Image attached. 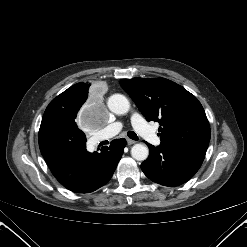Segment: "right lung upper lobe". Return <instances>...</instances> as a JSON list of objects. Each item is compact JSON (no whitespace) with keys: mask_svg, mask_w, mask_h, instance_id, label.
<instances>
[{"mask_svg":"<svg viewBox=\"0 0 247 247\" xmlns=\"http://www.w3.org/2000/svg\"><path fill=\"white\" fill-rule=\"evenodd\" d=\"M63 93H70L77 99L86 100L89 93V85L85 83H78L68 88Z\"/></svg>","mask_w":247,"mask_h":247,"instance_id":"1","label":"right lung upper lobe"}]
</instances>
